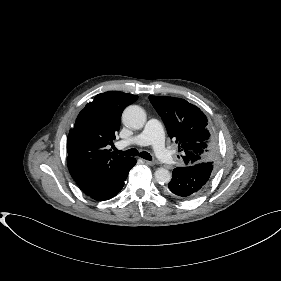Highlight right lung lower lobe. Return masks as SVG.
Here are the masks:
<instances>
[{
  "instance_id": "right-lung-lower-lobe-1",
  "label": "right lung lower lobe",
  "mask_w": 281,
  "mask_h": 281,
  "mask_svg": "<svg viewBox=\"0 0 281 281\" xmlns=\"http://www.w3.org/2000/svg\"><path fill=\"white\" fill-rule=\"evenodd\" d=\"M136 164L135 158H130L129 161L124 166L123 170L116 175V177L109 182L103 189L100 191L89 195L91 198L104 201L112 198L113 196L117 195L122 187L124 186V181L126 180L130 169Z\"/></svg>"
}]
</instances>
